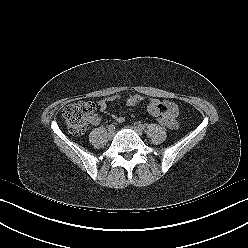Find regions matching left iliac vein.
I'll use <instances>...</instances> for the list:
<instances>
[{"mask_svg": "<svg viewBox=\"0 0 248 248\" xmlns=\"http://www.w3.org/2000/svg\"><path fill=\"white\" fill-rule=\"evenodd\" d=\"M127 127L135 131L138 135H142V130H140L138 127L136 126H127Z\"/></svg>", "mask_w": 248, "mask_h": 248, "instance_id": "4c4485c4", "label": "left iliac vein"}]
</instances>
